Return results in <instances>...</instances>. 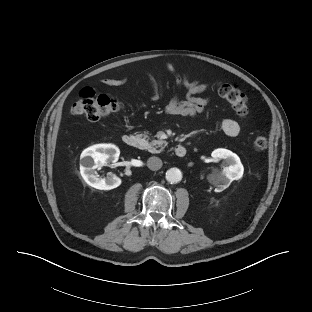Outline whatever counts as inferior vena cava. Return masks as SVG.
Listing matches in <instances>:
<instances>
[{
  "instance_id": "602c4592",
  "label": "inferior vena cava",
  "mask_w": 312,
  "mask_h": 312,
  "mask_svg": "<svg viewBox=\"0 0 312 312\" xmlns=\"http://www.w3.org/2000/svg\"><path fill=\"white\" fill-rule=\"evenodd\" d=\"M147 166L150 170L157 171L162 167V160L159 157H150L147 161Z\"/></svg>"
}]
</instances>
